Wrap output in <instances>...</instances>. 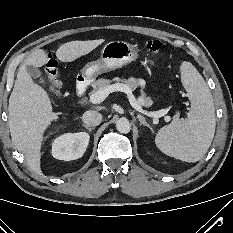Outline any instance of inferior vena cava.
<instances>
[{
    "label": "inferior vena cava",
    "mask_w": 233,
    "mask_h": 233,
    "mask_svg": "<svg viewBox=\"0 0 233 233\" xmlns=\"http://www.w3.org/2000/svg\"><path fill=\"white\" fill-rule=\"evenodd\" d=\"M82 120L87 126L93 127L101 123L102 115L97 111L89 110L83 114Z\"/></svg>",
    "instance_id": "inferior-vena-cava-1"
}]
</instances>
